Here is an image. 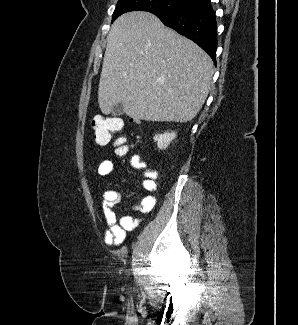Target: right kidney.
<instances>
[{"instance_id": "ca27d5eb", "label": "right kidney", "mask_w": 298, "mask_h": 325, "mask_svg": "<svg viewBox=\"0 0 298 325\" xmlns=\"http://www.w3.org/2000/svg\"><path fill=\"white\" fill-rule=\"evenodd\" d=\"M154 138V142H157V146L158 148H160V150H165V148H167V146H169L171 140H174V138H176V132H163V134H155V136H153Z\"/></svg>"}]
</instances>
